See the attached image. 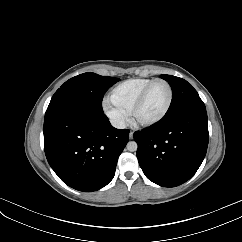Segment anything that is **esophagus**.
<instances>
[{
	"instance_id": "obj_1",
	"label": "esophagus",
	"mask_w": 242,
	"mask_h": 242,
	"mask_svg": "<svg viewBox=\"0 0 242 242\" xmlns=\"http://www.w3.org/2000/svg\"><path fill=\"white\" fill-rule=\"evenodd\" d=\"M129 138H130V139H133V132H130V133H129Z\"/></svg>"
}]
</instances>
